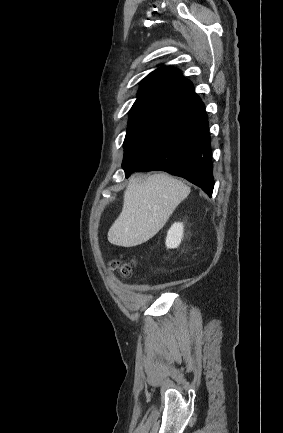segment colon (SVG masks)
<instances>
[{"label":"colon","instance_id":"5ec220e1","mask_svg":"<svg viewBox=\"0 0 283 433\" xmlns=\"http://www.w3.org/2000/svg\"><path fill=\"white\" fill-rule=\"evenodd\" d=\"M112 266L122 275H128L131 272V264L129 262H116Z\"/></svg>","mask_w":283,"mask_h":433}]
</instances>
